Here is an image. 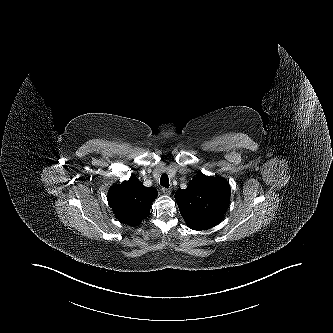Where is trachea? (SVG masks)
<instances>
[{"label": "trachea", "instance_id": "obj_1", "mask_svg": "<svg viewBox=\"0 0 333 333\" xmlns=\"http://www.w3.org/2000/svg\"><path fill=\"white\" fill-rule=\"evenodd\" d=\"M160 184L165 187L168 188L169 187V178L166 174H163L160 178Z\"/></svg>", "mask_w": 333, "mask_h": 333}]
</instances>
